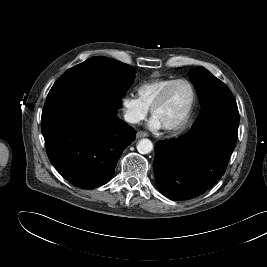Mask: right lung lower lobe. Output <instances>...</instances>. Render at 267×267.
Segmentation results:
<instances>
[{"mask_svg": "<svg viewBox=\"0 0 267 267\" xmlns=\"http://www.w3.org/2000/svg\"><path fill=\"white\" fill-rule=\"evenodd\" d=\"M117 107L88 98H71L42 112L47 155L56 170L83 189L100 187L114 175L136 131L116 116Z\"/></svg>", "mask_w": 267, "mask_h": 267, "instance_id": "1", "label": "right lung lower lobe"}]
</instances>
